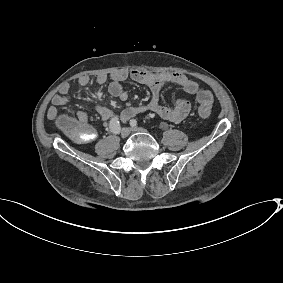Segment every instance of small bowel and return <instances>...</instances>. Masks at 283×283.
<instances>
[{"mask_svg": "<svg viewBox=\"0 0 283 283\" xmlns=\"http://www.w3.org/2000/svg\"><path fill=\"white\" fill-rule=\"evenodd\" d=\"M110 78L111 82L108 87L109 93L118 98L120 101H127L128 93L123 88V83L127 80H132L139 84H144L151 91V99L145 105L138 107H127L124 109L120 117L123 121H128L137 114L143 112H153L159 115L162 119L179 123L184 120L191 109L190 102L184 98H178L171 107L164 106L160 103V95L162 90L168 85H177L182 90L190 95L198 92L199 86L196 81L187 77L182 73L161 72L151 73L143 70H118L110 74H100L96 77L98 84H105ZM90 83V78L86 75L78 78V85L86 87ZM70 86L64 83L60 86L58 93L52 98V105L49 107L47 116L50 120L59 123L61 115L59 107L65 105L69 101ZM96 111L100 118L106 122L113 118V112L104 106H97ZM77 119L85 124H88V117L85 112H79Z\"/></svg>", "mask_w": 283, "mask_h": 283, "instance_id": "small-bowel-1", "label": "small bowel"}]
</instances>
